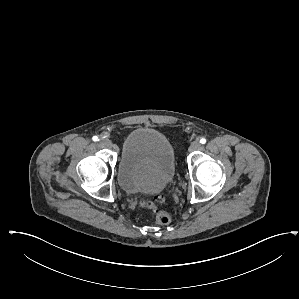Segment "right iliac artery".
Instances as JSON below:
<instances>
[{
	"label": "right iliac artery",
	"mask_w": 299,
	"mask_h": 299,
	"mask_svg": "<svg viewBox=\"0 0 299 299\" xmlns=\"http://www.w3.org/2000/svg\"><path fill=\"white\" fill-rule=\"evenodd\" d=\"M93 141H99V138L97 136H93Z\"/></svg>",
	"instance_id": "obj_1"
}]
</instances>
